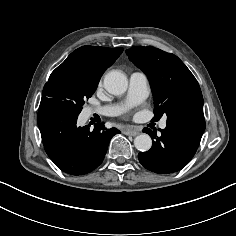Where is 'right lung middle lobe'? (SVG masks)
Masks as SVG:
<instances>
[{
  "label": "right lung middle lobe",
  "instance_id": "right-lung-middle-lobe-1",
  "mask_svg": "<svg viewBox=\"0 0 236 236\" xmlns=\"http://www.w3.org/2000/svg\"><path fill=\"white\" fill-rule=\"evenodd\" d=\"M98 81L82 77L67 68L57 67L45 84L42 99L55 98L80 113L84 101L95 92Z\"/></svg>",
  "mask_w": 236,
  "mask_h": 236
}]
</instances>
